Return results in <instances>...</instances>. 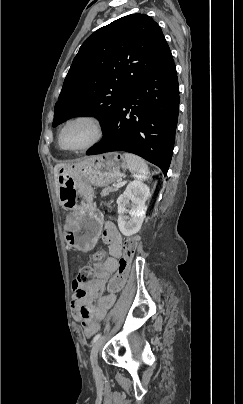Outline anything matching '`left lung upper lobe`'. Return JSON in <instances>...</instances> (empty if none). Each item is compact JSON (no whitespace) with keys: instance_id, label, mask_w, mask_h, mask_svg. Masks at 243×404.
I'll use <instances>...</instances> for the list:
<instances>
[{"instance_id":"5c2ea615","label":"left lung upper lobe","mask_w":243,"mask_h":404,"mask_svg":"<svg viewBox=\"0 0 243 404\" xmlns=\"http://www.w3.org/2000/svg\"><path fill=\"white\" fill-rule=\"evenodd\" d=\"M170 53L161 28L146 14L127 15L98 29L72 62L53 126L72 117L94 116L104 129L134 86Z\"/></svg>"}]
</instances>
